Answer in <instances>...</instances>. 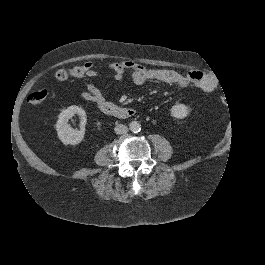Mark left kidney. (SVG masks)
I'll list each match as a JSON object with an SVG mask.
<instances>
[{
	"label": "left kidney",
	"mask_w": 265,
	"mask_h": 265,
	"mask_svg": "<svg viewBox=\"0 0 265 265\" xmlns=\"http://www.w3.org/2000/svg\"><path fill=\"white\" fill-rule=\"evenodd\" d=\"M188 113V106L181 103L173 105L169 110L170 116L176 119L177 121H183L187 117Z\"/></svg>",
	"instance_id": "left-kidney-1"
}]
</instances>
